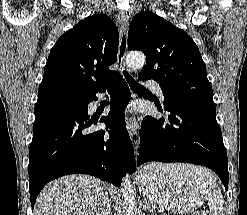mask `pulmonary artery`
<instances>
[{"instance_id":"1","label":"pulmonary artery","mask_w":247,"mask_h":215,"mask_svg":"<svg viewBox=\"0 0 247 215\" xmlns=\"http://www.w3.org/2000/svg\"><path fill=\"white\" fill-rule=\"evenodd\" d=\"M146 86L153 90L160 97H163L162 89L156 81L149 79L146 81Z\"/></svg>"}]
</instances>
